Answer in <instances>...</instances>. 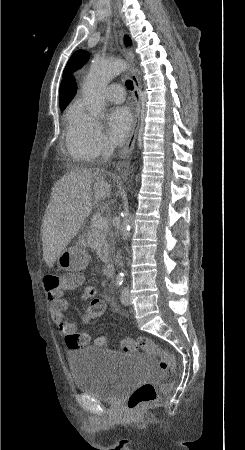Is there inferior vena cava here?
<instances>
[{"label":"inferior vena cava","instance_id":"602c4592","mask_svg":"<svg viewBox=\"0 0 245 450\" xmlns=\"http://www.w3.org/2000/svg\"><path fill=\"white\" fill-rule=\"evenodd\" d=\"M114 151V147L110 144H105L104 145V149H103V157L104 160L107 161L110 156L113 154Z\"/></svg>","mask_w":245,"mask_h":450}]
</instances>
